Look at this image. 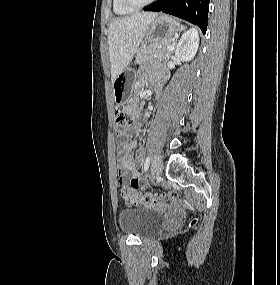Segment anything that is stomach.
I'll return each mask as SVG.
<instances>
[{"instance_id": "stomach-1", "label": "stomach", "mask_w": 280, "mask_h": 285, "mask_svg": "<svg viewBox=\"0 0 280 285\" xmlns=\"http://www.w3.org/2000/svg\"><path fill=\"white\" fill-rule=\"evenodd\" d=\"M179 26L170 17L161 15L150 24L144 37L143 44H150L164 39H171ZM132 69L123 70L113 81L114 101L118 105L127 104L132 98L131 92Z\"/></svg>"}]
</instances>
